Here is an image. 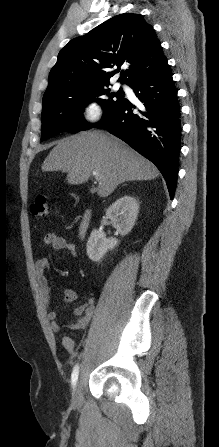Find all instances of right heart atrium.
<instances>
[{
    "label": "right heart atrium",
    "mask_w": 219,
    "mask_h": 447,
    "mask_svg": "<svg viewBox=\"0 0 219 447\" xmlns=\"http://www.w3.org/2000/svg\"><path fill=\"white\" fill-rule=\"evenodd\" d=\"M81 120L86 124H97L104 117V111L98 104H89L80 111Z\"/></svg>",
    "instance_id": "right-heart-atrium-1"
}]
</instances>
